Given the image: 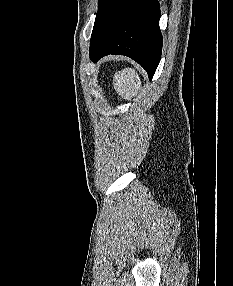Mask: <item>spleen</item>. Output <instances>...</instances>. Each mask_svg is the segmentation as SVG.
<instances>
[{
  "label": "spleen",
  "instance_id": "obj_1",
  "mask_svg": "<svg viewBox=\"0 0 233 286\" xmlns=\"http://www.w3.org/2000/svg\"><path fill=\"white\" fill-rule=\"evenodd\" d=\"M113 87L116 93L126 100H131L141 91V80L133 68H125L113 76Z\"/></svg>",
  "mask_w": 233,
  "mask_h": 286
}]
</instances>
